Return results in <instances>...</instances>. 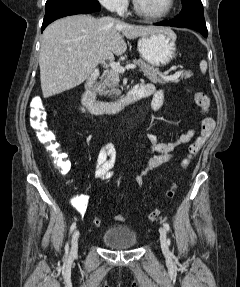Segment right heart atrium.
Returning a JSON list of instances; mask_svg holds the SVG:
<instances>
[{"label":"right heart atrium","instance_id":"obj_1","mask_svg":"<svg viewBox=\"0 0 240 287\" xmlns=\"http://www.w3.org/2000/svg\"><path fill=\"white\" fill-rule=\"evenodd\" d=\"M99 2L109 11L123 13L127 7L128 0H99Z\"/></svg>","mask_w":240,"mask_h":287}]
</instances>
